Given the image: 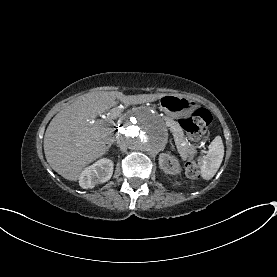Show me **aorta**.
Here are the masks:
<instances>
[{
    "mask_svg": "<svg viewBox=\"0 0 277 277\" xmlns=\"http://www.w3.org/2000/svg\"><path fill=\"white\" fill-rule=\"evenodd\" d=\"M116 139L129 151L155 156L168 141V132L163 120L153 111L137 109L118 122Z\"/></svg>",
    "mask_w": 277,
    "mask_h": 277,
    "instance_id": "762f6f07",
    "label": "aorta"
}]
</instances>
